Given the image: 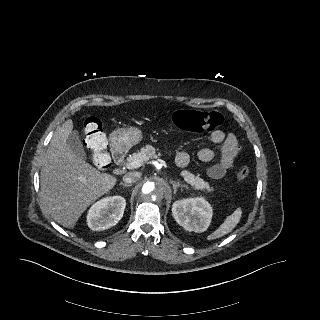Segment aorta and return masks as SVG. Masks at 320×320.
Segmentation results:
<instances>
[{"mask_svg":"<svg viewBox=\"0 0 320 320\" xmlns=\"http://www.w3.org/2000/svg\"><path fill=\"white\" fill-rule=\"evenodd\" d=\"M170 191L168 183L161 177L149 179L141 186L143 199L149 203L162 200Z\"/></svg>","mask_w":320,"mask_h":320,"instance_id":"1","label":"aorta"}]
</instances>
